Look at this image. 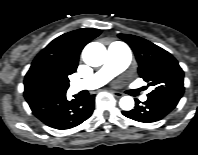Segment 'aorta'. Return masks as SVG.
Masks as SVG:
<instances>
[{"label":"aorta","instance_id":"1","mask_svg":"<svg viewBox=\"0 0 198 155\" xmlns=\"http://www.w3.org/2000/svg\"><path fill=\"white\" fill-rule=\"evenodd\" d=\"M106 56V48L99 42L87 44L82 52L84 62L93 67L101 66L105 62ZM119 106L124 111H130L134 107V99L131 96H124L120 99Z\"/></svg>","mask_w":198,"mask_h":155}]
</instances>
